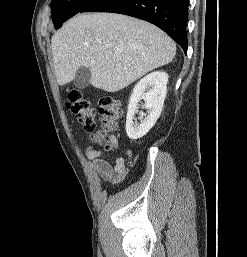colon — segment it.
<instances>
[{
	"label": "colon",
	"mask_w": 247,
	"mask_h": 257,
	"mask_svg": "<svg viewBox=\"0 0 247 257\" xmlns=\"http://www.w3.org/2000/svg\"><path fill=\"white\" fill-rule=\"evenodd\" d=\"M67 105L77 115L79 122L86 130L91 131V138L106 149H114L108 133L115 130L122 116V109L117 99L109 94L100 97L97 108L89 98L80 91L72 89L67 96ZM100 117V128L95 130L96 115Z\"/></svg>",
	"instance_id": "5ec220e1"
}]
</instances>
